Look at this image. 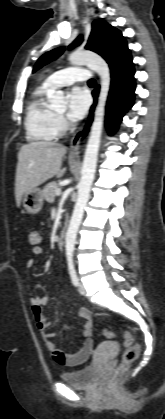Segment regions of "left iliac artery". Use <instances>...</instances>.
Wrapping results in <instances>:
<instances>
[{
  "mask_svg": "<svg viewBox=\"0 0 165 419\" xmlns=\"http://www.w3.org/2000/svg\"><path fill=\"white\" fill-rule=\"evenodd\" d=\"M69 273H70L73 285L78 286L79 280H78V277H77V274L73 265H69Z\"/></svg>",
  "mask_w": 165,
  "mask_h": 419,
  "instance_id": "obj_1",
  "label": "left iliac artery"
}]
</instances>
